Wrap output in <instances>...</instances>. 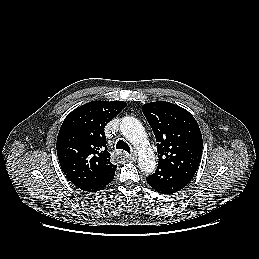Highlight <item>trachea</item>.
I'll return each instance as SVG.
<instances>
[{
    "instance_id": "1",
    "label": "trachea",
    "mask_w": 259,
    "mask_h": 259,
    "mask_svg": "<svg viewBox=\"0 0 259 259\" xmlns=\"http://www.w3.org/2000/svg\"><path fill=\"white\" fill-rule=\"evenodd\" d=\"M116 149H119V150H125L127 151L128 153H130V147L129 145L123 141V140H119L116 144Z\"/></svg>"
}]
</instances>
